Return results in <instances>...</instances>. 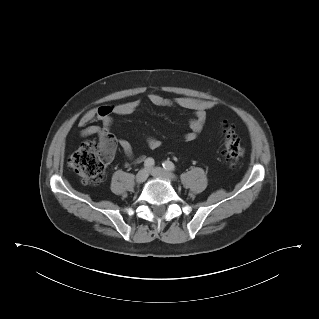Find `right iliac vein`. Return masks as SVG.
Returning a JSON list of instances; mask_svg holds the SVG:
<instances>
[{
  "label": "right iliac vein",
  "instance_id": "obj_1",
  "mask_svg": "<svg viewBox=\"0 0 319 319\" xmlns=\"http://www.w3.org/2000/svg\"><path fill=\"white\" fill-rule=\"evenodd\" d=\"M148 177V171L147 169H141L137 174H136V177H135V181L138 183V184H141L143 183Z\"/></svg>",
  "mask_w": 319,
  "mask_h": 319
}]
</instances>
